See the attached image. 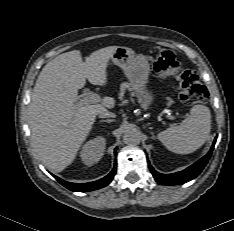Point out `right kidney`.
<instances>
[{"label": "right kidney", "instance_id": "ca27d5eb", "mask_svg": "<svg viewBox=\"0 0 234 231\" xmlns=\"http://www.w3.org/2000/svg\"><path fill=\"white\" fill-rule=\"evenodd\" d=\"M106 139L97 136L84 144L80 152V157L83 163L87 166H92L97 163L104 155Z\"/></svg>", "mask_w": 234, "mask_h": 231}]
</instances>
